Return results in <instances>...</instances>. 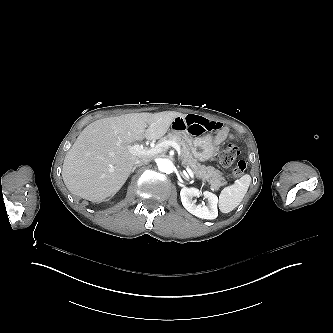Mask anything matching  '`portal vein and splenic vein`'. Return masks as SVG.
Segmentation results:
<instances>
[{
    "instance_id": "18ae733b",
    "label": "portal vein and splenic vein",
    "mask_w": 333,
    "mask_h": 333,
    "mask_svg": "<svg viewBox=\"0 0 333 333\" xmlns=\"http://www.w3.org/2000/svg\"><path fill=\"white\" fill-rule=\"evenodd\" d=\"M170 146L177 151L179 156L181 155V146L175 141H164L162 143L155 145L150 149L144 148L143 145L136 144L133 146H128V151L136 156H154L156 154L161 153ZM186 170L190 175V177L193 178L194 177L193 171L189 167H187Z\"/></svg>"
}]
</instances>
